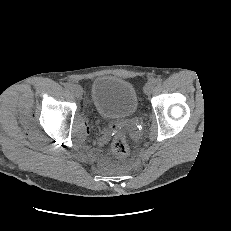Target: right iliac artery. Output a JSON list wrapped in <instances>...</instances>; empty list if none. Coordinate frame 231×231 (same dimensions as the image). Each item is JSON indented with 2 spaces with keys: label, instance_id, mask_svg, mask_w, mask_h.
<instances>
[{
  "label": "right iliac artery",
  "instance_id": "obj_1",
  "mask_svg": "<svg viewBox=\"0 0 231 231\" xmlns=\"http://www.w3.org/2000/svg\"><path fill=\"white\" fill-rule=\"evenodd\" d=\"M71 86H72L71 83H68V82L64 83V87H65L66 89H70Z\"/></svg>",
  "mask_w": 231,
  "mask_h": 231
}]
</instances>
